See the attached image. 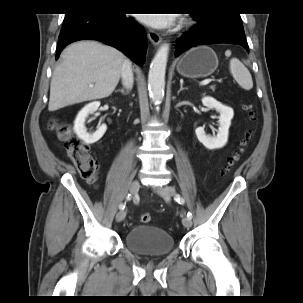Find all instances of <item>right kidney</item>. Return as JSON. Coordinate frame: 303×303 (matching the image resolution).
<instances>
[{
  "instance_id": "obj_1",
  "label": "right kidney",
  "mask_w": 303,
  "mask_h": 303,
  "mask_svg": "<svg viewBox=\"0 0 303 303\" xmlns=\"http://www.w3.org/2000/svg\"><path fill=\"white\" fill-rule=\"evenodd\" d=\"M100 106V102L95 101L87 104L82 110L78 113L75 121H74V132L83 140L86 144H93L100 140L104 133L107 130L106 124H102L98 126L97 130L94 133H88L85 127L86 118L89 114L94 113L98 110Z\"/></svg>"
}]
</instances>
